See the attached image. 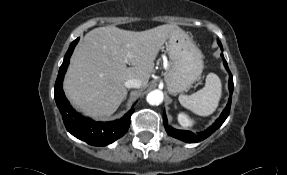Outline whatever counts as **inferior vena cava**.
<instances>
[{"instance_id":"inferior-vena-cava-1","label":"inferior vena cava","mask_w":287,"mask_h":175,"mask_svg":"<svg viewBox=\"0 0 287 175\" xmlns=\"http://www.w3.org/2000/svg\"><path fill=\"white\" fill-rule=\"evenodd\" d=\"M124 85L127 88H140L142 86V82L139 79L132 78V79L126 80Z\"/></svg>"}]
</instances>
